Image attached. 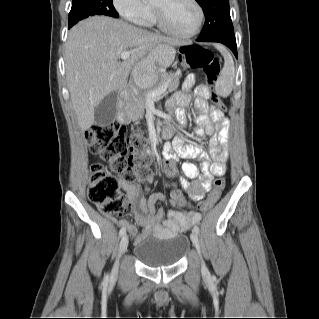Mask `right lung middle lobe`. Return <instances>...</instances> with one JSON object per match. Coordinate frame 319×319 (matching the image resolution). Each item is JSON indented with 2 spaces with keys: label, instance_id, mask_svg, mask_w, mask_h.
I'll return each mask as SVG.
<instances>
[{
  "label": "right lung middle lobe",
  "instance_id": "right-lung-middle-lobe-1",
  "mask_svg": "<svg viewBox=\"0 0 319 319\" xmlns=\"http://www.w3.org/2000/svg\"><path fill=\"white\" fill-rule=\"evenodd\" d=\"M93 15H107L115 18L119 16L113 6V0H73L68 19L69 28Z\"/></svg>",
  "mask_w": 319,
  "mask_h": 319
}]
</instances>
